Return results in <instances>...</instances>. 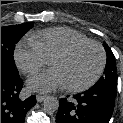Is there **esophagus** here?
<instances>
[{
	"label": "esophagus",
	"instance_id": "1",
	"mask_svg": "<svg viewBox=\"0 0 123 123\" xmlns=\"http://www.w3.org/2000/svg\"><path fill=\"white\" fill-rule=\"evenodd\" d=\"M45 97L46 96H43V95H37L36 100H37V102H42L45 99Z\"/></svg>",
	"mask_w": 123,
	"mask_h": 123
}]
</instances>
